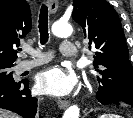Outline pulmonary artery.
<instances>
[{"label":"pulmonary artery","instance_id":"obj_1","mask_svg":"<svg viewBox=\"0 0 133 118\" xmlns=\"http://www.w3.org/2000/svg\"><path fill=\"white\" fill-rule=\"evenodd\" d=\"M61 54L65 57H73L77 52L76 46L70 41H63L60 45ZM27 53L34 54L36 56L33 60H22L16 66L18 73L32 69L38 65L44 64L51 59V56L46 53H42L33 49H25Z\"/></svg>","mask_w":133,"mask_h":118}]
</instances>
